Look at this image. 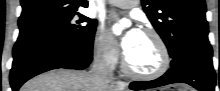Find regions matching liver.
<instances>
[{
  "label": "liver",
  "mask_w": 220,
  "mask_h": 91,
  "mask_svg": "<svg viewBox=\"0 0 220 91\" xmlns=\"http://www.w3.org/2000/svg\"><path fill=\"white\" fill-rule=\"evenodd\" d=\"M102 91H115L113 86ZM20 91H95L89 72L57 69L38 75L27 81Z\"/></svg>",
  "instance_id": "1"
}]
</instances>
